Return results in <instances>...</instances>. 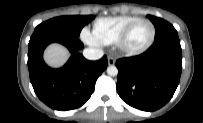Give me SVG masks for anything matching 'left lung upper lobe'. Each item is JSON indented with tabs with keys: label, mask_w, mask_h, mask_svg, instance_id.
<instances>
[{
	"label": "left lung upper lobe",
	"mask_w": 203,
	"mask_h": 123,
	"mask_svg": "<svg viewBox=\"0 0 203 123\" xmlns=\"http://www.w3.org/2000/svg\"><path fill=\"white\" fill-rule=\"evenodd\" d=\"M148 18L152 21V23L155 26L156 30L155 40H158L169 34H177L175 28L167 21L150 15L148 16Z\"/></svg>",
	"instance_id": "5c2ea615"
}]
</instances>
